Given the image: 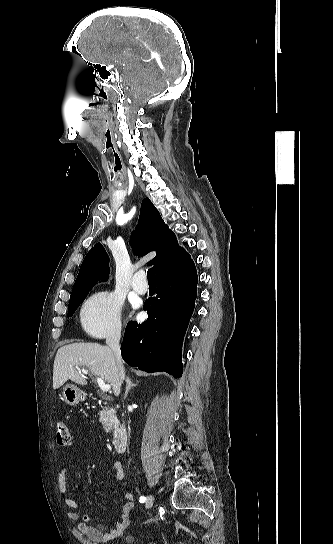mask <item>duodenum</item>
Segmentation results:
<instances>
[{"instance_id":"obj_1","label":"duodenum","mask_w":333,"mask_h":544,"mask_svg":"<svg viewBox=\"0 0 333 544\" xmlns=\"http://www.w3.org/2000/svg\"><path fill=\"white\" fill-rule=\"evenodd\" d=\"M107 404L106 401H103ZM113 448L117 453H122L127 445V429L124 423H119L114 430L112 439Z\"/></svg>"}]
</instances>
